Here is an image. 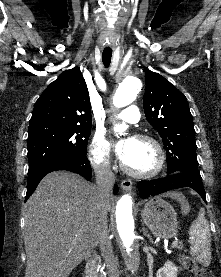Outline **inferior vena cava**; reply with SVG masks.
<instances>
[{"label": "inferior vena cava", "instance_id": "602c4592", "mask_svg": "<svg viewBox=\"0 0 221 277\" xmlns=\"http://www.w3.org/2000/svg\"><path fill=\"white\" fill-rule=\"evenodd\" d=\"M97 193L99 196L98 208L100 210V246L103 259L106 263L108 277H119L117 262L113 254L112 243L109 240L107 228V201L110 197L112 187L115 183V176L111 170L110 163L105 161L94 166Z\"/></svg>", "mask_w": 221, "mask_h": 277}]
</instances>
